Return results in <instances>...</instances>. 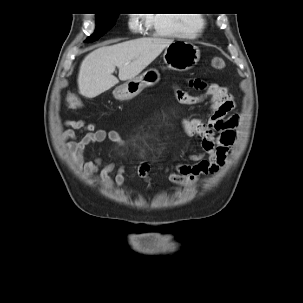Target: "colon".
I'll list each match as a JSON object with an SVG mask.
<instances>
[{"instance_id":"5ec220e1","label":"colon","mask_w":303,"mask_h":303,"mask_svg":"<svg viewBox=\"0 0 303 303\" xmlns=\"http://www.w3.org/2000/svg\"><path fill=\"white\" fill-rule=\"evenodd\" d=\"M211 66L214 69H218V70L223 69L225 67V61L222 58H218V57L213 58L211 60ZM68 103L73 109H81L83 107L80 100L75 96L69 97Z\"/></svg>"}]
</instances>
